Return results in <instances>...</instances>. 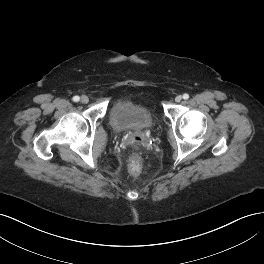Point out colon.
Masks as SVG:
<instances>
[{
  "instance_id": "1",
  "label": "colon",
  "mask_w": 264,
  "mask_h": 264,
  "mask_svg": "<svg viewBox=\"0 0 264 264\" xmlns=\"http://www.w3.org/2000/svg\"><path fill=\"white\" fill-rule=\"evenodd\" d=\"M129 171L132 175L136 176L140 173L141 171V162L139 159H134L131 161L130 166H129Z\"/></svg>"
}]
</instances>
